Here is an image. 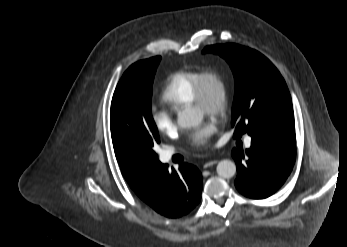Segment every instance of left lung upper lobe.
I'll return each mask as SVG.
<instances>
[{
	"label": "left lung upper lobe",
	"mask_w": 347,
	"mask_h": 247,
	"mask_svg": "<svg viewBox=\"0 0 347 247\" xmlns=\"http://www.w3.org/2000/svg\"><path fill=\"white\" fill-rule=\"evenodd\" d=\"M225 58L235 78L232 107L234 138L267 131L295 134L294 112L287 85L261 53L237 44L207 46L204 51Z\"/></svg>",
	"instance_id": "5c2ea615"
}]
</instances>
